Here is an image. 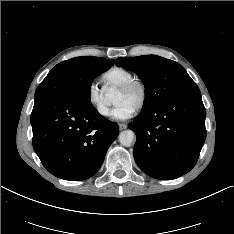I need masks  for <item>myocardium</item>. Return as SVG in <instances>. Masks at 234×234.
Segmentation results:
<instances>
[{
    "instance_id": "myocardium-1",
    "label": "myocardium",
    "mask_w": 234,
    "mask_h": 234,
    "mask_svg": "<svg viewBox=\"0 0 234 234\" xmlns=\"http://www.w3.org/2000/svg\"><path fill=\"white\" fill-rule=\"evenodd\" d=\"M134 89H137L139 92V99L135 106V110L139 111L147 102L148 88L146 83L142 79L134 77L118 87V91L122 93H129Z\"/></svg>"
}]
</instances>
